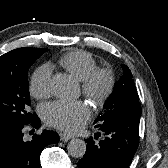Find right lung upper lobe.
<instances>
[{
  "mask_svg": "<svg viewBox=\"0 0 168 168\" xmlns=\"http://www.w3.org/2000/svg\"><path fill=\"white\" fill-rule=\"evenodd\" d=\"M22 48L14 49L0 57V66L6 65L12 62L15 59V55L21 50Z\"/></svg>",
  "mask_w": 168,
  "mask_h": 168,
  "instance_id": "obj_1",
  "label": "right lung upper lobe"
}]
</instances>
